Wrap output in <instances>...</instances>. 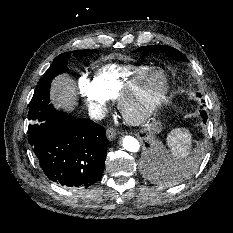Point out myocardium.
I'll return each instance as SVG.
<instances>
[{"mask_svg": "<svg viewBox=\"0 0 233 233\" xmlns=\"http://www.w3.org/2000/svg\"><path fill=\"white\" fill-rule=\"evenodd\" d=\"M169 92V78L160 70L123 89L118 97V109L124 119L139 125L154 115Z\"/></svg>", "mask_w": 233, "mask_h": 233, "instance_id": "obj_1", "label": "myocardium"}]
</instances>
